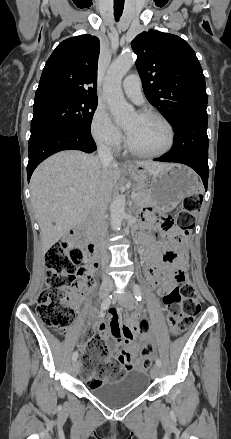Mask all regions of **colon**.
I'll list each match as a JSON object with an SVG mask.
<instances>
[{
  "instance_id": "5ec220e1",
  "label": "colon",
  "mask_w": 231,
  "mask_h": 439,
  "mask_svg": "<svg viewBox=\"0 0 231 439\" xmlns=\"http://www.w3.org/2000/svg\"><path fill=\"white\" fill-rule=\"evenodd\" d=\"M202 202L200 194L190 195L183 200L181 209L174 218L165 216L154 219V222L163 231L178 226L183 231L178 240L184 242L188 233L194 228L195 214L200 210ZM172 258L170 254L169 259ZM83 261L82 249L72 247L68 240L55 243L46 252L48 276L46 287L38 295L36 312L42 323L58 334L65 333L73 320V310L70 305L72 295L79 290L83 282L87 285L91 284L89 271L94 270L96 264L86 268ZM174 279L181 286L173 287L163 293V301L167 307V319L173 333H181L189 327L200 311L196 288L186 280L184 256L177 260ZM138 329L142 334L148 332L145 322L141 323ZM81 344L86 350L81 357L82 375L88 380L89 387L100 386L105 377L112 380L121 378L120 364L116 361H104L108 349L101 338L89 337ZM145 352L151 354L152 348H147ZM151 365L150 359L142 362V367L146 370Z\"/></svg>"
}]
</instances>
